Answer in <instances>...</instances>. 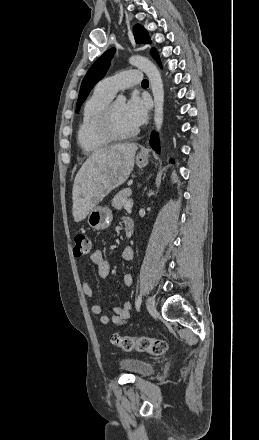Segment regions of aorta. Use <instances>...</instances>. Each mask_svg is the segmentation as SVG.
Returning a JSON list of instances; mask_svg holds the SVG:
<instances>
[{
  "label": "aorta",
  "instance_id": "762f6f07",
  "mask_svg": "<svg viewBox=\"0 0 259 440\" xmlns=\"http://www.w3.org/2000/svg\"><path fill=\"white\" fill-rule=\"evenodd\" d=\"M129 63L142 70L148 77L154 98V124L156 130L160 132L163 125V105H164V89L160 72L157 67L146 57L132 56ZM117 101L125 102L123 95L117 97Z\"/></svg>",
  "mask_w": 259,
  "mask_h": 440
}]
</instances>
